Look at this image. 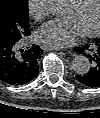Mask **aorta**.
<instances>
[{
	"label": "aorta",
	"mask_w": 100,
	"mask_h": 118,
	"mask_svg": "<svg viewBox=\"0 0 100 118\" xmlns=\"http://www.w3.org/2000/svg\"><path fill=\"white\" fill-rule=\"evenodd\" d=\"M50 9L53 13L60 14L63 12L64 7L60 0H51ZM72 68L79 75L88 73L90 70L89 59L84 55H76L72 60Z\"/></svg>",
	"instance_id": "762f6f07"
}]
</instances>
